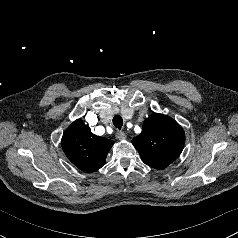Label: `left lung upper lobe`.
I'll return each instance as SVG.
<instances>
[{
    "label": "left lung upper lobe",
    "instance_id": "5c2ea615",
    "mask_svg": "<svg viewBox=\"0 0 238 238\" xmlns=\"http://www.w3.org/2000/svg\"><path fill=\"white\" fill-rule=\"evenodd\" d=\"M185 132L167 115L155 113L143 123L142 132L132 140L142 161L155 169H165L181 154Z\"/></svg>",
    "mask_w": 238,
    "mask_h": 238
}]
</instances>
